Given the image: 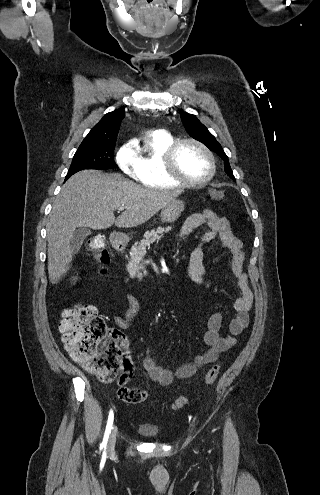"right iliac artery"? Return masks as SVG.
I'll list each match as a JSON object with an SVG mask.
<instances>
[{"mask_svg": "<svg viewBox=\"0 0 320 495\" xmlns=\"http://www.w3.org/2000/svg\"><path fill=\"white\" fill-rule=\"evenodd\" d=\"M112 424H113V411L111 410L110 413H109V417H108V421H107V426H106L104 438H103L102 443L100 444V448L101 449H105L106 448L107 441H108V438H109V434H110L111 429H112Z\"/></svg>", "mask_w": 320, "mask_h": 495, "instance_id": "1", "label": "right iliac artery"}]
</instances>
